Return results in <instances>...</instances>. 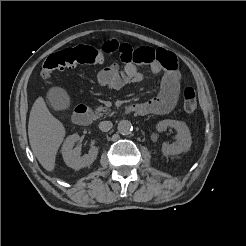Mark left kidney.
<instances>
[{"mask_svg": "<svg viewBox=\"0 0 246 246\" xmlns=\"http://www.w3.org/2000/svg\"><path fill=\"white\" fill-rule=\"evenodd\" d=\"M167 127L174 128L177 131V141L174 144L163 143L162 153L165 156H170L187 152L191 147L192 138L190 130L185 122L176 120H162L156 126L159 132L164 131Z\"/></svg>", "mask_w": 246, "mask_h": 246, "instance_id": "1", "label": "left kidney"}]
</instances>
